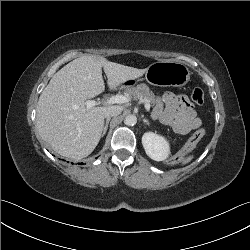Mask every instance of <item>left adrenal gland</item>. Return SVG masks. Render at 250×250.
I'll return each mask as SVG.
<instances>
[{"mask_svg": "<svg viewBox=\"0 0 250 250\" xmlns=\"http://www.w3.org/2000/svg\"><path fill=\"white\" fill-rule=\"evenodd\" d=\"M143 123H145L146 125H149V121L147 119H143Z\"/></svg>", "mask_w": 250, "mask_h": 250, "instance_id": "obj_1", "label": "left adrenal gland"}]
</instances>
